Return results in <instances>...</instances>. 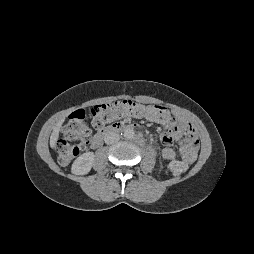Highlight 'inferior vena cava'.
<instances>
[{"mask_svg":"<svg viewBox=\"0 0 254 254\" xmlns=\"http://www.w3.org/2000/svg\"><path fill=\"white\" fill-rule=\"evenodd\" d=\"M120 139L119 134L116 131H108L104 136V141L107 145L114 144Z\"/></svg>","mask_w":254,"mask_h":254,"instance_id":"obj_1","label":"inferior vena cava"}]
</instances>
